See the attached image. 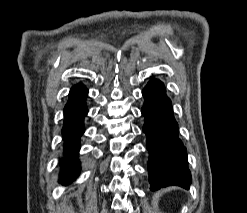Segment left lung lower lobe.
Returning a JSON list of instances; mask_svg holds the SVG:
<instances>
[{
  "instance_id": "0a47b994",
  "label": "left lung lower lobe",
  "mask_w": 247,
  "mask_h": 213,
  "mask_svg": "<svg viewBox=\"0 0 247 213\" xmlns=\"http://www.w3.org/2000/svg\"><path fill=\"white\" fill-rule=\"evenodd\" d=\"M145 117L143 131L149 151L148 171L151 190L169 185L188 189L191 174L187 165L186 148L178 137V124L173 117L172 104L164 84L151 80L143 89Z\"/></svg>"
}]
</instances>
